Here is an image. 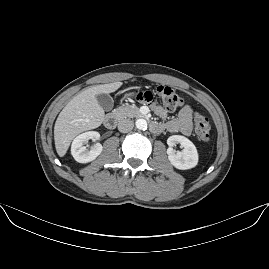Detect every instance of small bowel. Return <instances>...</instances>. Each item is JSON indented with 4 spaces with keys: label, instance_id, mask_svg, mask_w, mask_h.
Masks as SVG:
<instances>
[{
    "label": "small bowel",
    "instance_id": "1",
    "mask_svg": "<svg viewBox=\"0 0 269 269\" xmlns=\"http://www.w3.org/2000/svg\"><path fill=\"white\" fill-rule=\"evenodd\" d=\"M155 112L161 117L166 116V112L159 106H154ZM193 110L190 106H184L178 113L177 117L170 120L166 124V128L169 132H180L185 136H189L193 130Z\"/></svg>",
    "mask_w": 269,
    "mask_h": 269
}]
</instances>
